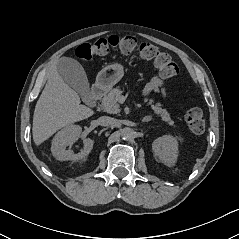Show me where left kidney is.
Listing matches in <instances>:
<instances>
[{
	"label": "left kidney",
	"instance_id": "obj_1",
	"mask_svg": "<svg viewBox=\"0 0 239 239\" xmlns=\"http://www.w3.org/2000/svg\"><path fill=\"white\" fill-rule=\"evenodd\" d=\"M154 154L168 166H173L178 157V142L171 135H164L152 143Z\"/></svg>",
	"mask_w": 239,
	"mask_h": 239
}]
</instances>
